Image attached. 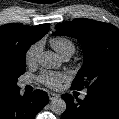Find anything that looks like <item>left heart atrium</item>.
Instances as JSON below:
<instances>
[{"label":"left heart atrium","mask_w":119,"mask_h":119,"mask_svg":"<svg viewBox=\"0 0 119 119\" xmlns=\"http://www.w3.org/2000/svg\"><path fill=\"white\" fill-rule=\"evenodd\" d=\"M67 79V74L53 71H43L39 76V81L50 88H58Z\"/></svg>","instance_id":"obj_1"}]
</instances>
